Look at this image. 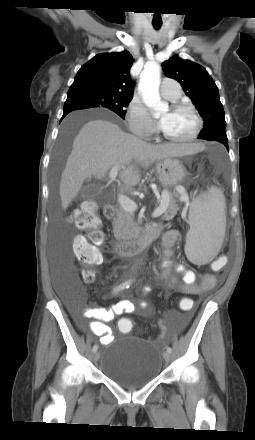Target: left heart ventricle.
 <instances>
[{
    "label": "left heart ventricle",
    "mask_w": 255,
    "mask_h": 440,
    "mask_svg": "<svg viewBox=\"0 0 255 440\" xmlns=\"http://www.w3.org/2000/svg\"><path fill=\"white\" fill-rule=\"evenodd\" d=\"M165 121L163 131L174 138H186L194 131L196 121L187 110H167L161 114Z\"/></svg>",
    "instance_id": "obj_1"
}]
</instances>
